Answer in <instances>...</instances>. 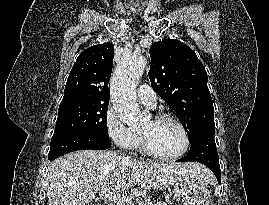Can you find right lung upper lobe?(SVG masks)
<instances>
[{"label":"right lung upper lobe","mask_w":269,"mask_h":205,"mask_svg":"<svg viewBox=\"0 0 269 205\" xmlns=\"http://www.w3.org/2000/svg\"><path fill=\"white\" fill-rule=\"evenodd\" d=\"M113 54L112 43L98 44L84 50L71 69L60 106L109 103L108 83Z\"/></svg>","instance_id":"obj_1"}]
</instances>
